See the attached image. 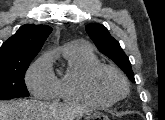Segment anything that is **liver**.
Returning <instances> with one entry per match:
<instances>
[{
  "instance_id": "1",
  "label": "liver",
  "mask_w": 165,
  "mask_h": 120,
  "mask_svg": "<svg viewBox=\"0 0 165 120\" xmlns=\"http://www.w3.org/2000/svg\"><path fill=\"white\" fill-rule=\"evenodd\" d=\"M90 111L87 108H57L37 100L0 101V120H52L66 115L69 120Z\"/></svg>"
}]
</instances>
